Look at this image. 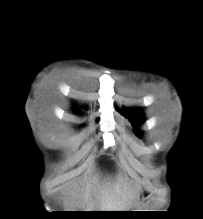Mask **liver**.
I'll use <instances>...</instances> for the list:
<instances>
[{"mask_svg": "<svg viewBox=\"0 0 203 219\" xmlns=\"http://www.w3.org/2000/svg\"><path fill=\"white\" fill-rule=\"evenodd\" d=\"M135 194L136 191L127 192L119 182L113 185L106 182L95 192L101 211H124L131 205Z\"/></svg>", "mask_w": 203, "mask_h": 219, "instance_id": "liver-1", "label": "liver"}]
</instances>
